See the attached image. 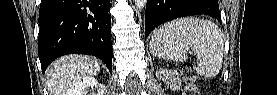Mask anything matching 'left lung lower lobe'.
Segmentation results:
<instances>
[{"label": "left lung lower lobe", "mask_w": 277, "mask_h": 95, "mask_svg": "<svg viewBox=\"0 0 277 95\" xmlns=\"http://www.w3.org/2000/svg\"><path fill=\"white\" fill-rule=\"evenodd\" d=\"M207 14L220 20L217 0H147L145 38L162 23L189 15Z\"/></svg>", "instance_id": "left-lung-lower-lobe-1"}]
</instances>
